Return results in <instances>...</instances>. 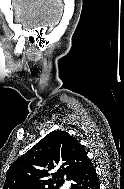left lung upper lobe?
Listing matches in <instances>:
<instances>
[{
    "instance_id": "5c2ea615",
    "label": "left lung upper lobe",
    "mask_w": 124,
    "mask_h": 189,
    "mask_svg": "<svg viewBox=\"0 0 124 189\" xmlns=\"http://www.w3.org/2000/svg\"><path fill=\"white\" fill-rule=\"evenodd\" d=\"M89 159L80 142L65 131H53L7 170L3 189H59ZM49 170H56L49 178Z\"/></svg>"
}]
</instances>
